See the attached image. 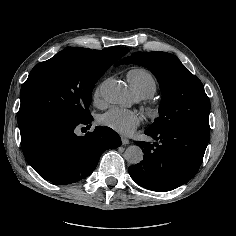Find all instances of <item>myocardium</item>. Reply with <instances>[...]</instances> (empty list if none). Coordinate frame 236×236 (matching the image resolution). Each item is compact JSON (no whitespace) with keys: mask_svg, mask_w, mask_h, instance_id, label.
<instances>
[{"mask_svg":"<svg viewBox=\"0 0 236 236\" xmlns=\"http://www.w3.org/2000/svg\"><path fill=\"white\" fill-rule=\"evenodd\" d=\"M147 112L150 117H156L159 114L158 108L156 106H150Z\"/></svg>","mask_w":236,"mask_h":236,"instance_id":"obj_1","label":"myocardium"}]
</instances>
